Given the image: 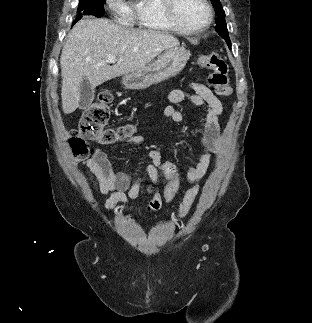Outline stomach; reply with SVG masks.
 <instances>
[{"label":"stomach","mask_w":312,"mask_h":323,"mask_svg":"<svg viewBox=\"0 0 312 323\" xmlns=\"http://www.w3.org/2000/svg\"><path fill=\"white\" fill-rule=\"evenodd\" d=\"M189 58L190 52L184 46H171L153 64L131 74H124L122 82L128 90H144L152 84L177 76L185 68Z\"/></svg>","instance_id":"stomach-1"}]
</instances>
